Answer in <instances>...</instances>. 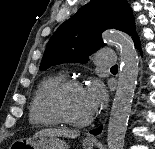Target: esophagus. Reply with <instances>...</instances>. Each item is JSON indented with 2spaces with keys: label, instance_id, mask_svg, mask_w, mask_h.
<instances>
[{
  "label": "esophagus",
  "instance_id": "obj_1",
  "mask_svg": "<svg viewBox=\"0 0 155 149\" xmlns=\"http://www.w3.org/2000/svg\"><path fill=\"white\" fill-rule=\"evenodd\" d=\"M89 140L95 141L96 139L94 137H89Z\"/></svg>",
  "mask_w": 155,
  "mask_h": 149
}]
</instances>
